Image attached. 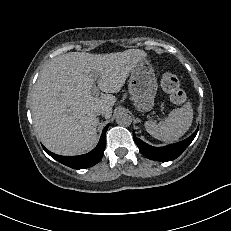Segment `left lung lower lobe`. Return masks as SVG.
<instances>
[{"label":"left lung lower lobe","instance_id":"1","mask_svg":"<svg viewBox=\"0 0 231 231\" xmlns=\"http://www.w3.org/2000/svg\"><path fill=\"white\" fill-rule=\"evenodd\" d=\"M197 132H198V128L189 138L181 142L170 144L164 147H153L144 143L142 140H140L135 136L134 131H133V137L141 153L144 156H146L148 159L155 160V161H170L177 158L183 153V151L193 141Z\"/></svg>","mask_w":231,"mask_h":231}]
</instances>
